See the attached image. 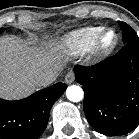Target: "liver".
<instances>
[{"label": "liver", "mask_w": 139, "mask_h": 139, "mask_svg": "<svg viewBox=\"0 0 139 139\" xmlns=\"http://www.w3.org/2000/svg\"><path fill=\"white\" fill-rule=\"evenodd\" d=\"M66 57L56 43L33 48L16 37L0 38V98L20 99L38 87L37 77L47 71L58 72Z\"/></svg>", "instance_id": "obj_1"}]
</instances>
